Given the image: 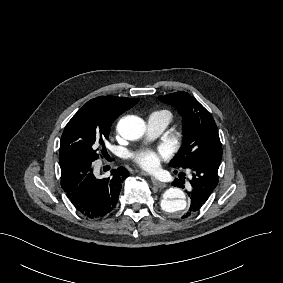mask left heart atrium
Returning <instances> with one entry per match:
<instances>
[{"label": "left heart atrium", "mask_w": 283, "mask_h": 283, "mask_svg": "<svg viewBox=\"0 0 283 283\" xmlns=\"http://www.w3.org/2000/svg\"><path fill=\"white\" fill-rule=\"evenodd\" d=\"M170 151L165 147L157 150L145 149L134 155L136 164L145 171L156 172L160 168L162 161L169 159Z\"/></svg>", "instance_id": "obj_1"}]
</instances>
